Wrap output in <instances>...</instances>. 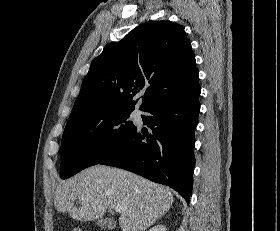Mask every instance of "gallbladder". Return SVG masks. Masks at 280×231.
Here are the masks:
<instances>
[{
    "label": "gallbladder",
    "instance_id": "1",
    "mask_svg": "<svg viewBox=\"0 0 280 231\" xmlns=\"http://www.w3.org/2000/svg\"><path fill=\"white\" fill-rule=\"evenodd\" d=\"M96 225H100L104 229H113V227H116V221H113L111 217H100V219H97Z\"/></svg>",
    "mask_w": 280,
    "mask_h": 231
}]
</instances>
